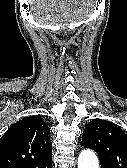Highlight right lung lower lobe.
Returning a JSON list of instances; mask_svg holds the SVG:
<instances>
[{"label": "right lung lower lobe", "instance_id": "obj_1", "mask_svg": "<svg viewBox=\"0 0 127 168\" xmlns=\"http://www.w3.org/2000/svg\"><path fill=\"white\" fill-rule=\"evenodd\" d=\"M51 166H52V163L50 165L46 166L45 168H51Z\"/></svg>", "mask_w": 127, "mask_h": 168}]
</instances>
